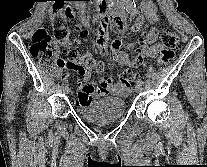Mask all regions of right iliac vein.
I'll return each instance as SVG.
<instances>
[{
	"instance_id": "1",
	"label": "right iliac vein",
	"mask_w": 207,
	"mask_h": 167,
	"mask_svg": "<svg viewBox=\"0 0 207 167\" xmlns=\"http://www.w3.org/2000/svg\"><path fill=\"white\" fill-rule=\"evenodd\" d=\"M64 92L65 93H68L69 92V87L67 85L64 87Z\"/></svg>"
}]
</instances>
